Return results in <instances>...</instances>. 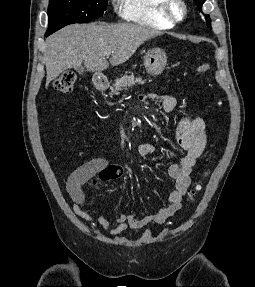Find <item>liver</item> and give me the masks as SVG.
Here are the masks:
<instances>
[{
    "instance_id": "obj_1",
    "label": "liver",
    "mask_w": 255,
    "mask_h": 287,
    "mask_svg": "<svg viewBox=\"0 0 255 287\" xmlns=\"http://www.w3.org/2000/svg\"><path fill=\"white\" fill-rule=\"evenodd\" d=\"M159 36L157 30L138 24H72L47 38L44 50L47 80L58 78L68 68L84 64L89 72H103L109 68L105 58L111 54V66L127 62L137 48Z\"/></svg>"
}]
</instances>
